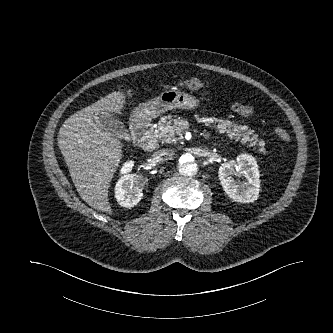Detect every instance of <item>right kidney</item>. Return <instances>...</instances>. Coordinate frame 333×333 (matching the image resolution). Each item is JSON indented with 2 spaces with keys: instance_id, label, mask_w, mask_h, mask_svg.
<instances>
[{
  "instance_id": "1",
  "label": "right kidney",
  "mask_w": 333,
  "mask_h": 333,
  "mask_svg": "<svg viewBox=\"0 0 333 333\" xmlns=\"http://www.w3.org/2000/svg\"><path fill=\"white\" fill-rule=\"evenodd\" d=\"M133 162H127L123 166V172H130ZM143 178L132 174L123 175L115 186V197L117 202L123 207H133L142 199Z\"/></svg>"
}]
</instances>
